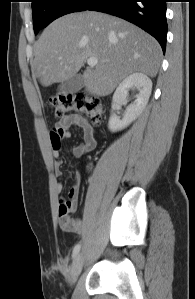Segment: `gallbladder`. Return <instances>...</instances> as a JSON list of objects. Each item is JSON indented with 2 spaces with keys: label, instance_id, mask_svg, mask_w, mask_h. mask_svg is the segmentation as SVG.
I'll use <instances>...</instances> for the list:
<instances>
[{
  "label": "gallbladder",
  "instance_id": "obj_1",
  "mask_svg": "<svg viewBox=\"0 0 195 299\" xmlns=\"http://www.w3.org/2000/svg\"><path fill=\"white\" fill-rule=\"evenodd\" d=\"M84 87V78L81 74H76L73 77L62 82L58 90L63 94L75 93Z\"/></svg>",
  "mask_w": 195,
  "mask_h": 299
}]
</instances>
